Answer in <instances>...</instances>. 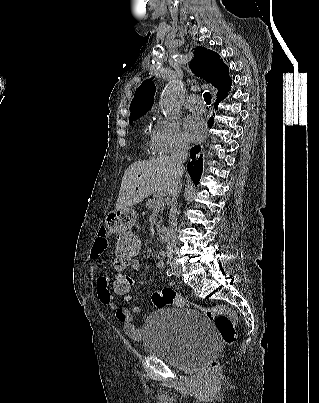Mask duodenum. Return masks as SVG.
<instances>
[{
    "instance_id": "1",
    "label": "duodenum",
    "mask_w": 319,
    "mask_h": 403,
    "mask_svg": "<svg viewBox=\"0 0 319 403\" xmlns=\"http://www.w3.org/2000/svg\"><path fill=\"white\" fill-rule=\"evenodd\" d=\"M157 233L163 242L167 243L170 241V231L167 227H165V226L158 227Z\"/></svg>"
}]
</instances>
